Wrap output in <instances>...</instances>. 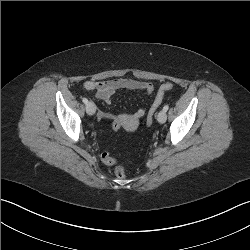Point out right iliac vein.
Listing matches in <instances>:
<instances>
[{
  "mask_svg": "<svg viewBox=\"0 0 250 250\" xmlns=\"http://www.w3.org/2000/svg\"><path fill=\"white\" fill-rule=\"evenodd\" d=\"M96 111V106L93 102H88L86 104V112L89 114V115H94Z\"/></svg>",
  "mask_w": 250,
  "mask_h": 250,
  "instance_id": "right-iliac-vein-1",
  "label": "right iliac vein"
}]
</instances>
